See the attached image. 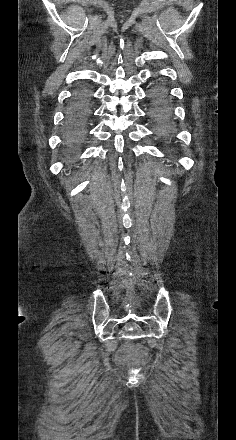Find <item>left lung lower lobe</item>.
<instances>
[{"mask_svg": "<svg viewBox=\"0 0 236 440\" xmlns=\"http://www.w3.org/2000/svg\"><path fill=\"white\" fill-rule=\"evenodd\" d=\"M151 100L150 116L156 121L158 130L167 133L173 118L169 94L165 86L158 82L149 93Z\"/></svg>", "mask_w": 236, "mask_h": 440, "instance_id": "0a47b994", "label": "left lung lower lobe"}]
</instances>
